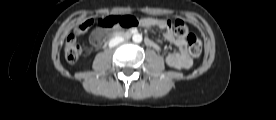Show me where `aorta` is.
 <instances>
[{
  "label": "aorta",
  "instance_id": "obj_1",
  "mask_svg": "<svg viewBox=\"0 0 276 120\" xmlns=\"http://www.w3.org/2000/svg\"><path fill=\"white\" fill-rule=\"evenodd\" d=\"M133 42L140 43L142 41V35L141 34H134L132 37Z\"/></svg>",
  "mask_w": 276,
  "mask_h": 120
}]
</instances>
